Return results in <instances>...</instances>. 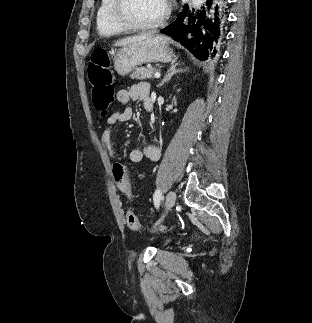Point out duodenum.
I'll use <instances>...</instances> for the list:
<instances>
[{"mask_svg":"<svg viewBox=\"0 0 312 323\" xmlns=\"http://www.w3.org/2000/svg\"><path fill=\"white\" fill-rule=\"evenodd\" d=\"M145 110L147 115H152L154 113V104L151 99L150 92L145 95Z\"/></svg>","mask_w":312,"mask_h":323,"instance_id":"410a0bca","label":"duodenum"}]
</instances>
